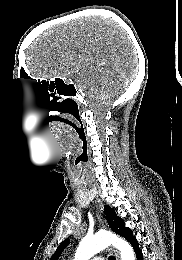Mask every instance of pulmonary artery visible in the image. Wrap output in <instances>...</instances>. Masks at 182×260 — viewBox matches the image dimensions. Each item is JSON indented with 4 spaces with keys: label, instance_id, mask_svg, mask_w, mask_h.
<instances>
[{
    "label": "pulmonary artery",
    "instance_id": "1",
    "mask_svg": "<svg viewBox=\"0 0 182 260\" xmlns=\"http://www.w3.org/2000/svg\"><path fill=\"white\" fill-rule=\"evenodd\" d=\"M92 260H104V258L100 257V256H97V257H94Z\"/></svg>",
    "mask_w": 182,
    "mask_h": 260
}]
</instances>
